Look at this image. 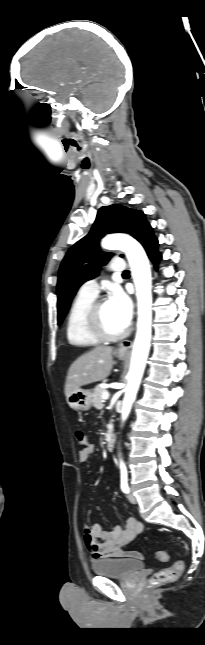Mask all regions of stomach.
<instances>
[{"label": "stomach", "instance_id": "1", "mask_svg": "<svg viewBox=\"0 0 205 645\" xmlns=\"http://www.w3.org/2000/svg\"><path fill=\"white\" fill-rule=\"evenodd\" d=\"M118 358H126L124 354H118ZM67 404L79 411H88L92 407V393L89 390L77 389L66 397Z\"/></svg>", "mask_w": 205, "mask_h": 645}]
</instances>
